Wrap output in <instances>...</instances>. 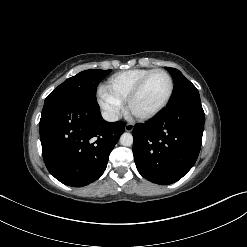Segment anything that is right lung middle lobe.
Returning <instances> with one entry per match:
<instances>
[{
	"label": "right lung middle lobe",
	"instance_id": "right-lung-middle-lobe-1",
	"mask_svg": "<svg viewBox=\"0 0 247 247\" xmlns=\"http://www.w3.org/2000/svg\"><path fill=\"white\" fill-rule=\"evenodd\" d=\"M111 70H85L68 78L56 87L45 99V102L58 99H74L87 103H97L96 89L99 82Z\"/></svg>",
	"mask_w": 247,
	"mask_h": 247
}]
</instances>
